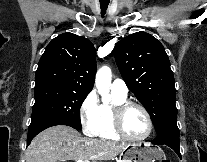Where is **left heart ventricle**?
<instances>
[{"mask_svg":"<svg viewBox=\"0 0 207 162\" xmlns=\"http://www.w3.org/2000/svg\"><path fill=\"white\" fill-rule=\"evenodd\" d=\"M125 132L132 137H140L147 131V120L144 113L136 107L130 108L123 119Z\"/></svg>","mask_w":207,"mask_h":162,"instance_id":"obj_1","label":"left heart ventricle"}]
</instances>
